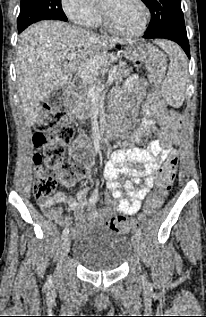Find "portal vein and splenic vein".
I'll list each match as a JSON object with an SVG mask.
<instances>
[{
	"label": "portal vein and splenic vein",
	"instance_id": "portal-vein-and-splenic-vein-1",
	"mask_svg": "<svg viewBox=\"0 0 206 317\" xmlns=\"http://www.w3.org/2000/svg\"><path fill=\"white\" fill-rule=\"evenodd\" d=\"M75 58H76V53H75V52H70V53H68V55H67V59H68V60L72 61V60H74ZM83 66H84L86 69L89 68L88 65H85V64H84ZM115 72H116V66L113 67V69H111V70L109 71V77H108L107 84H106V85H102V86H100V87H97V86H92V87H90L89 90H88V94H89L90 96H92V97H97V96H99V94L101 93V91H103L104 88H105L107 85H110V84L113 82Z\"/></svg>",
	"mask_w": 206,
	"mask_h": 317
}]
</instances>
